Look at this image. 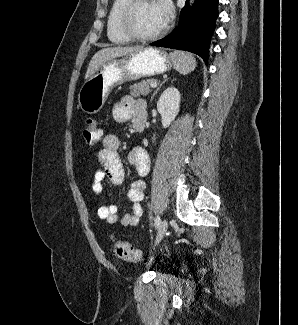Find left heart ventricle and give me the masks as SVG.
<instances>
[{
  "label": "left heart ventricle",
  "mask_w": 298,
  "mask_h": 325,
  "mask_svg": "<svg viewBox=\"0 0 298 325\" xmlns=\"http://www.w3.org/2000/svg\"><path fill=\"white\" fill-rule=\"evenodd\" d=\"M128 24L140 36H148L164 27L162 5L153 0H144L132 10Z\"/></svg>",
  "instance_id": "b2bd125f"
}]
</instances>
